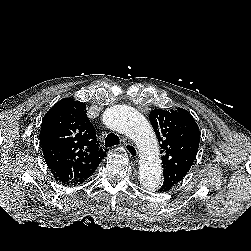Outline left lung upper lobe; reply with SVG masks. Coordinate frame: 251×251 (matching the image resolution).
Instances as JSON below:
<instances>
[{"instance_id":"obj_1","label":"left lung upper lobe","mask_w":251,"mask_h":251,"mask_svg":"<svg viewBox=\"0 0 251 251\" xmlns=\"http://www.w3.org/2000/svg\"><path fill=\"white\" fill-rule=\"evenodd\" d=\"M149 119L163 155V187L169 185L172 188L186 176L196 158L200 141L199 127L182 108L152 110Z\"/></svg>"}]
</instances>
